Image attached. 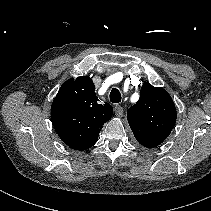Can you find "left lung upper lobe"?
<instances>
[{
  "mask_svg": "<svg viewBox=\"0 0 211 211\" xmlns=\"http://www.w3.org/2000/svg\"><path fill=\"white\" fill-rule=\"evenodd\" d=\"M127 119L137 141L144 147L154 148L171 133L176 108L166 90L145 83L139 100L128 109Z\"/></svg>",
  "mask_w": 211,
  "mask_h": 211,
  "instance_id": "1",
  "label": "left lung upper lobe"
}]
</instances>
